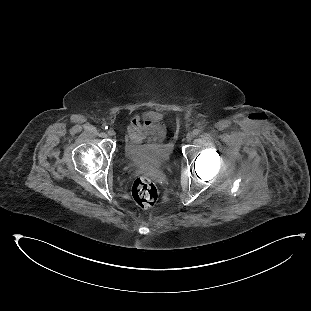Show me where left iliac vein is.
<instances>
[{
	"label": "left iliac vein",
	"instance_id": "obj_1",
	"mask_svg": "<svg viewBox=\"0 0 311 311\" xmlns=\"http://www.w3.org/2000/svg\"><path fill=\"white\" fill-rule=\"evenodd\" d=\"M193 138H194V134L191 132L186 135L187 141H191Z\"/></svg>",
	"mask_w": 311,
	"mask_h": 311
}]
</instances>
